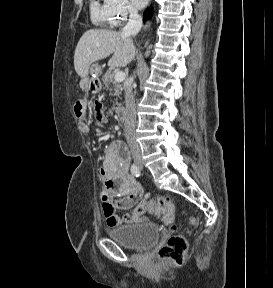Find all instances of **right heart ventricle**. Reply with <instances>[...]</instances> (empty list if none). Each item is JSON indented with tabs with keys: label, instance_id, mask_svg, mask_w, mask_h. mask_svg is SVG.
I'll return each mask as SVG.
<instances>
[{
	"label": "right heart ventricle",
	"instance_id": "obj_1",
	"mask_svg": "<svg viewBox=\"0 0 273 288\" xmlns=\"http://www.w3.org/2000/svg\"><path fill=\"white\" fill-rule=\"evenodd\" d=\"M91 18L97 25L109 26L112 25L111 17L105 6V3H100L99 0H93L91 4Z\"/></svg>",
	"mask_w": 273,
	"mask_h": 288
}]
</instances>
